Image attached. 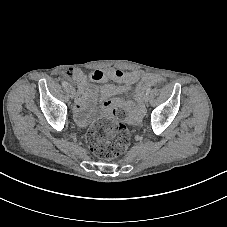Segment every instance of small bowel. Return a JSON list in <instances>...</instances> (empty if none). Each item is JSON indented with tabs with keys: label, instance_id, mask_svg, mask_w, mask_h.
Returning a JSON list of instances; mask_svg holds the SVG:
<instances>
[{
	"label": "small bowel",
	"instance_id": "small-bowel-1",
	"mask_svg": "<svg viewBox=\"0 0 227 227\" xmlns=\"http://www.w3.org/2000/svg\"><path fill=\"white\" fill-rule=\"evenodd\" d=\"M78 85V97L75 104V118L79 124H86L88 121L87 109L89 105L96 99L98 89L94 86L88 85V80L94 82H105L108 79L115 80L125 85H131L139 80L142 76L138 72H124L119 69H105L95 70L89 75H86L81 70H75L71 76ZM162 81V78L157 75H148L143 77V81L139 87V93H143L144 90L155 83ZM114 92V88L110 85H106L102 88V93L105 97L103 101L104 108H111L115 103L108 99V97ZM130 108L138 113L137 105L134 103L129 104ZM137 119V116H134Z\"/></svg>",
	"mask_w": 227,
	"mask_h": 227
}]
</instances>
